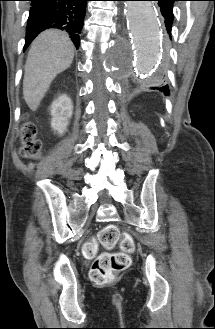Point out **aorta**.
<instances>
[{
	"instance_id": "aorta-1",
	"label": "aorta",
	"mask_w": 215,
	"mask_h": 329,
	"mask_svg": "<svg viewBox=\"0 0 215 329\" xmlns=\"http://www.w3.org/2000/svg\"><path fill=\"white\" fill-rule=\"evenodd\" d=\"M125 15L137 67L143 74L154 75L162 53L163 29L159 12L151 1H127Z\"/></svg>"
}]
</instances>
